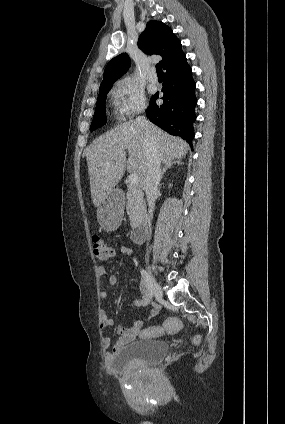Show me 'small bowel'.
I'll return each mask as SVG.
<instances>
[{
    "mask_svg": "<svg viewBox=\"0 0 285 424\" xmlns=\"http://www.w3.org/2000/svg\"><path fill=\"white\" fill-rule=\"evenodd\" d=\"M120 251L124 255H128V256L134 255L133 250L131 248L127 247V246H122ZM97 274L100 275V276H103V275L108 274V271L105 267L99 266V267H97ZM108 282H109V285L115 286L117 284L116 276L110 275ZM140 292H141V297L134 299L133 304L135 306H138V307H145V306L152 305L153 306L152 313L155 314L156 313V306L151 303L150 297L148 295L149 292H148L147 286L143 281H141V283H140ZM100 295L103 298H107V297H109L110 293L107 290H102ZM113 323H114L113 318L107 312H105V311L102 312L101 320H100V328L101 329L108 328V327L112 326ZM143 324H144L143 320L138 319L135 322H133V324L129 328L119 327L117 329V333H118L119 338L116 341L113 349L110 350V351H107L105 353V360L107 362L112 361L114 354L119 349H121L123 346L137 340L143 332L142 331ZM110 344H111L110 338H108V337L104 338L103 345L105 347H109Z\"/></svg>",
    "mask_w": 285,
    "mask_h": 424,
    "instance_id": "small-bowel-1",
    "label": "small bowel"
}]
</instances>
